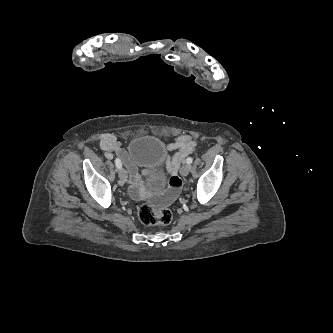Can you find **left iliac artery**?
Instances as JSON below:
<instances>
[{"mask_svg": "<svg viewBox=\"0 0 333 333\" xmlns=\"http://www.w3.org/2000/svg\"><path fill=\"white\" fill-rule=\"evenodd\" d=\"M193 162V159L191 158V157H188L187 159H186V163L187 164H191Z\"/></svg>", "mask_w": 333, "mask_h": 333, "instance_id": "1", "label": "left iliac artery"}]
</instances>
